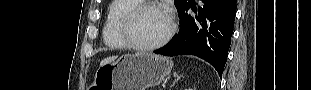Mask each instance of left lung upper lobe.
<instances>
[{"label": "left lung upper lobe", "mask_w": 311, "mask_h": 90, "mask_svg": "<svg viewBox=\"0 0 311 90\" xmlns=\"http://www.w3.org/2000/svg\"><path fill=\"white\" fill-rule=\"evenodd\" d=\"M178 13L183 9L186 5L187 0H174Z\"/></svg>", "instance_id": "5c2ea615"}]
</instances>
